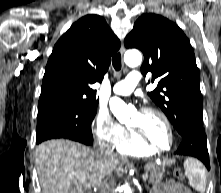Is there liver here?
<instances>
[{"mask_svg":"<svg viewBox=\"0 0 221 193\" xmlns=\"http://www.w3.org/2000/svg\"><path fill=\"white\" fill-rule=\"evenodd\" d=\"M36 163L42 193H85L111 176L119 159L111 151L53 139L37 146Z\"/></svg>","mask_w":221,"mask_h":193,"instance_id":"1","label":"liver"}]
</instances>
